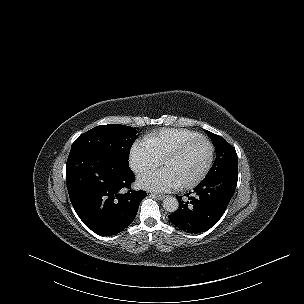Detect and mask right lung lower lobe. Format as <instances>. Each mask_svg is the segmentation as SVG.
Returning a JSON list of instances; mask_svg holds the SVG:
<instances>
[{
    "instance_id": "98d812e1",
    "label": "right lung lower lobe",
    "mask_w": 304,
    "mask_h": 304,
    "mask_svg": "<svg viewBox=\"0 0 304 304\" xmlns=\"http://www.w3.org/2000/svg\"><path fill=\"white\" fill-rule=\"evenodd\" d=\"M135 177L132 170L116 169L109 154L89 149L69 154L66 182L71 203L93 232L111 236L134 220L145 191L128 190Z\"/></svg>"
}]
</instances>
